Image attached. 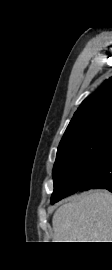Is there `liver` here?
<instances>
[{"label": "liver", "mask_w": 112, "mask_h": 270, "mask_svg": "<svg viewBox=\"0 0 112 270\" xmlns=\"http://www.w3.org/2000/svg\"><path fill=\"white\" fill-rule=\"evenodd\" d=\"M52 225L55 242H112V194L93 190L71 198Z\"/></svg>", "instance_id": "1"}]
</instances>
